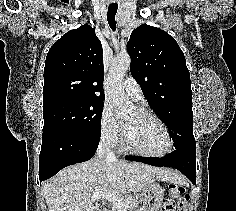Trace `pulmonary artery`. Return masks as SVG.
I'll list each match as a JSON object with an SVG mask.
<instances>
[{
    "instance_id": "pulmonary-artery-1",
    "label": "pulmonary artery",
    "mask_w": 236,
    "mask_h": 211,
    "mask_svg": "<svg viewBox=\"0 0 236 211\" xmlns=\"http://www.w3.org/2000/svg\"><path fill=\"white\" fill-rule=\"evenodd\" d=\"M124 90L126 94L134 100H140L142 98L141 86L132 77H128L125 79Z\"/></svg>"
}]
</instances>
